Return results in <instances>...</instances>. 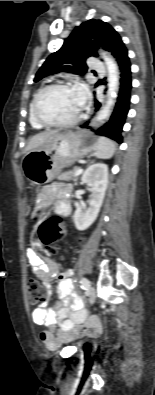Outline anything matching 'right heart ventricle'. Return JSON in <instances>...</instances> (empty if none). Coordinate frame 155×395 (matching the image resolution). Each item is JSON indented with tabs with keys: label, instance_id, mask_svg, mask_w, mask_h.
Listing matches in <instances>:
<instances>
[{
	"label": "right heart ventricle",
	"instance_id": "e07e8e85",
	"mask_svg": "<svg viewBox=\"0 0 155 395\" xmlns=\"http://www.w3.org/2000/svg\"><path fill=\"white\" fill-rule=\"evenodd\" d=\"M34 96H35V95H34ZM33 98H34V97H33ZM33 98H32V100H31V102H30V104H29V122H30L31 126H32L34 129L40 130V129L43 128V126L39 125V124L35 121V119H34V117H33V115H32V101H33Z\"/></svg>",
	"mask_w": 155,
	"mask_h": 395
}]
</instances>
